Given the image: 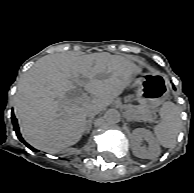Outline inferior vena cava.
<instances>
[{
	"label": "inferior vena cava",
	"instance_id": "602c4592",
	"mask_svg": "<svg viewBox=\"0 0 194 193\" xmlns=\"http://www.w3.org/2000/svg\"><path fill=\"white\" fill-rule=\"evenodd\" d=\"M101 110L98 108H94L91 111L87 113V117L93 118L95 115H97Z\"/></svg>",
	"mask_w": 194,
	"mask_h": 193
}]
</instances>
